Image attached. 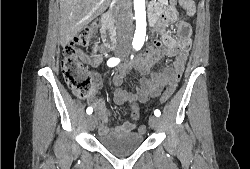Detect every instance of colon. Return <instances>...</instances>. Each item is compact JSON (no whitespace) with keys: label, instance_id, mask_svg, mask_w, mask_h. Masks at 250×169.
I'll return each instance as SVG.
<instances>
[{"label":"colon","instance_id":"1","mask_svg":"<svg viewBox=\"0 0 250 169\" xmlns=\"http://www.w3.org/2000/svg\"><path fill=\"white\" fill-rule=\"evenodd\" d=\"M183 7L187 11H193L194 5L191 1H184ZM97 25H94L79 34H75L74 38H69V42L63 45L61 51V69L64 80L69 89L80 98H88L93 96L94 89L91 82V77L88 71L83 67L77 55V46L88 47L97 32ZM181 33L187 34L189 27L186 23L180 26ZM175 81H170V84L163 91V97L160 99V104L168 102V97H171L175 90ZM138 107L137 105L135 106ZM146 130L145 126L139 128L140 132Z\"/></svg>","mask_w":250,"mask_h":169}]
</instances>
